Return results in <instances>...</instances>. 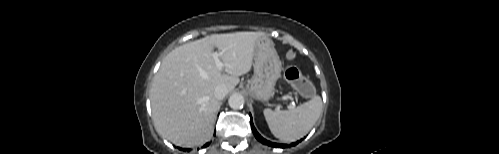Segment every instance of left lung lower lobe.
I'll return each instance as SVG.
<instances>
[{
	"label": "left lung lower lobe",
	"mask_w": 499,
	"mask_h": 154,
	"mask_svg": "<svg viewBox=\"0 0 499 154\" xmlns=\"http://www.w3.org/2000/svg\"><path fill=\"white\" fill-rule=\"evenodd\" d=\"M250 118H251V115H250ZM251 127H252V131L254 133V136L257 138V140H259L261 143L263 144H266L268 146H272V147H280V148H285L287 147L286 144H277V143H273V142H270V141H267L265 140L263 137L260 136V134L257 132V130L255 129L254 125H253V122H252V118H251ZM300 141H297L295 143H292L291 146H294L296 144H298Z\"/></svg>",
	"instance_id": "left-lung-lower-lobe-1"
}]
</instances>
